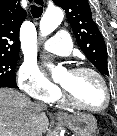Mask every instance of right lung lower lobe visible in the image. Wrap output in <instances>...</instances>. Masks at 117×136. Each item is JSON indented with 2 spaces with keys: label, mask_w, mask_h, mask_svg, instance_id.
<instances>
[{
  "label": "right lung lower lobe",
  "mask_w": 117,
  "mask_h": 136,
  "mask_svg": "<svg viewBox=\"0 0 117 136\" xmlns=\"http://www.w3.org/2000/svg\"><path fill=\"white\" fill-rule=\"evenodd\" d=\"M1 87L18 88L14 82H0V88Z\"/></svg>",
  "instance_id": "1"
}]
</instances>
